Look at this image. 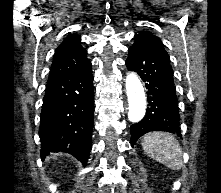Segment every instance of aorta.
I'll return each mask as SVG.
<instances>
[{
	"instance_id": "aorta-1",
	"label": "aorta",
	"mask_w": 221,
	"mask_h": 193,
	"mask_svg": "<svg viewBox=\"0 0 221 193\" xmlns=\"http://www.w3.org/2000/svg\"><path fill=\"white\" fill-rule=\"evenodd\" d=\"M126 92L129 103L128 119L139 122L145 115L146 98L143 86L134 73H129L126 77Z\"/></svg>"
}]
</instances>
